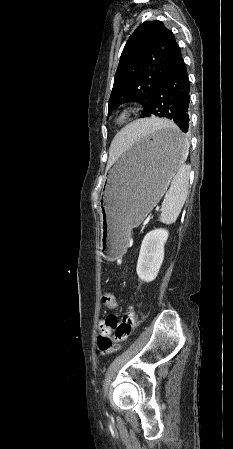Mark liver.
<instances>
[{"label":"liver","instance_id":"6515ba94","mask_svg":"<svg viewBox=\"0 0 233 449\" xmlns=\"http://www.w3.org/2000/svg\"><path fill=\"white\" fill-rule=\"evenodd\" d=\"M170 121L165 119L150 118L137 120L119 133L112 134V143L110 147V158L112 161L117 160L122 151L130 142H136L138 137L146 135L158 127L169 125Z\"/></svg>","mask_w":233,"mask_h":449}]
</instances>
